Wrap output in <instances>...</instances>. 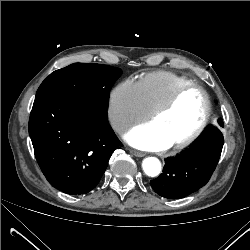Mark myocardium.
Listing matches in <instances>:
<instances>
[{"label":"myocardium","instance_id":"myocardium-1","mask_svg":"<svg viewBox=\"0 0 250 250\" xmlns=\"http://www.w3.org/2000/svg\"><path fill=\"white\" fill-rule=\"evenodd\" d=\"M193 89L200 91L201 94L203 95V98L205 101V112H204L202 121L189 136L172 144V147L175 149H182L192 144L203 133V131L207 127L210 117H211V110H212L211 99H210L208 92L200 84H197V83H190V84L183 85L179 87L163 105L157 108L151 114V117H150L151 121H155L161 116L167 114L169 111L173 109V107L177 104V102L179 101V99L184 93Z\"/></svg>","mask_w":250,"mask_h":250}]
</instances>
